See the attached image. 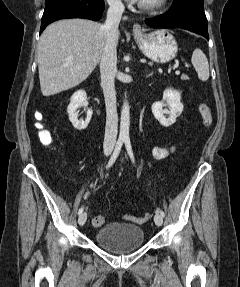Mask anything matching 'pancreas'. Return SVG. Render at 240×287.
Returning <instances> with one entry per match:
<instances>
[{
    "label": "pancreas",
    "mask_w": 240,
    "mask_h": 287,
    "mask_svg": "<svg viewBox=\"0 0 240 287\" xmlns=\"http://www.w3.org/2000/svg\"><path fill=\"white\" fill-rule=\"evenodd\" d=\"M149 65H152V63H149ZM182 78L187 79V76L183 75Z\"/></svg>",
    "instance_id": "obj_1"
}]
</instances>
